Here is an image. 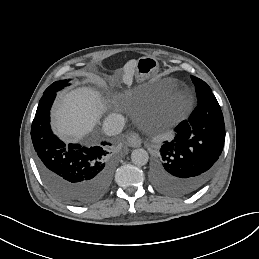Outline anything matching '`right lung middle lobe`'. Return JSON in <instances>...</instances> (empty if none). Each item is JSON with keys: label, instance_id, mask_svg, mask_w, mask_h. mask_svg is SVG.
<instances>
[{"label": "right lung middle lobe", "instance_id": "right-lung-middle-lobe-1", "mask_svg": "<svg viewBox=\"0 0 259 259\" xmlns=\"http://www.w3.org/2000/svg\"><path fill=\"white\" fill-rule=\"evenodd\" d=\"M70 81V79L68 80H60V81H56L54 83H52L43 93L44 94H48V93H56L59 90H61L62 88L68 86V82Z\"/></svg>", "mask_w": 259, "mask_h": 259}]
</instances>
